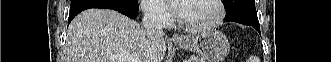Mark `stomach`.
I'll use <instances>...</instances> for the list:
<instances>
[{
  "label": "stomach",
  "instance_id": "stomach-1",
  "mask_svg": "<svg viewBox=\"0 0 331 62\" xmlns=\"http://www.w3.org/2000/svg\"><path fill=\"white\" fill-rule=\"evenodd\" d=\"M176 46L197 53L204 62H222L230 50L227 37L220 31L210 30L189 36Z\"/></svg>",
  "mask_w": 331,
  "mask_h": 62
}]
</instances>
